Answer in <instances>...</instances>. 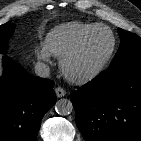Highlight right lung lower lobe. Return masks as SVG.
Instances as JSON below:
<instances>
[{
  "instance_id": "right-lung-lower-lobe-1",
  "label": "right lung lower lobe",
  "mask_w": 141,
  "mask_h": 141,
  "mask_svg": "<svg viewBox=\"0 0 141 141\" xmlns=\"http://www.w3.org/2000/svg\"><path fill=\"white\" fill-rule=\"evenodd\" d=\"M0 78V141H36L44 114L55 104L53 82L26 72L7 56Z\"/></svg>"
}]
</instances>
